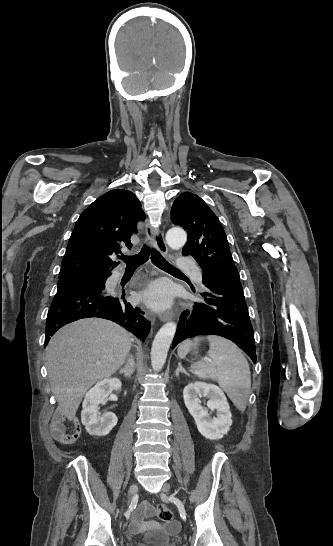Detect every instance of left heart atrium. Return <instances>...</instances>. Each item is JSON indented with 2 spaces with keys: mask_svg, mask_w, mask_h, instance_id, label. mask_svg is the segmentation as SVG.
I'll return each mask as SVG.
<instances>
[{
  "mask_svg": "<svg viewBox=\"0 0 333 546\" xmlns=\"http://www.w3.org/2000/svg\"><path fill=\"white\" fill-rule=\"evenodd\" d=\"M145 297L153 307L163 309L171 302L172 290L169 285L157 282L151 285L149 290L145 293Z\"/></svg>",
  "mask_w": 333,
  "mask_h": 546,
  "instance_id": "39dd6f15",
  "label": "left heart atrium"
}]
</instances>
